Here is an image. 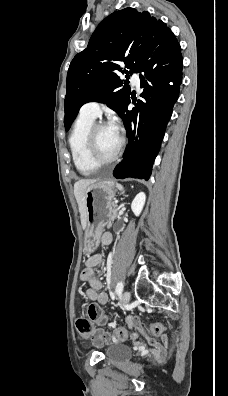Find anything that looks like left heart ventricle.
Wrapping results in <instances>:
<instances>
[{
  "mask_svg": "<svg viewBox=\"0 0 228 396\" xmlns=\"http://www.w3.org/2000/svg\"><path fill=\"white\" fill-rule=\"evenodd\" d=\"M119 134L110 126L100 128L96 134V152L99 158L109 159L119 146Z\"/></svg>",
  "mask_w": 228,
  "mask_h": 396,
  "instance_id": "1",
  "label": "left heart ventricle"
}]
</instances>
